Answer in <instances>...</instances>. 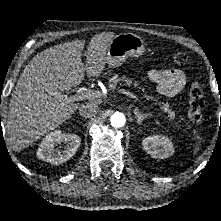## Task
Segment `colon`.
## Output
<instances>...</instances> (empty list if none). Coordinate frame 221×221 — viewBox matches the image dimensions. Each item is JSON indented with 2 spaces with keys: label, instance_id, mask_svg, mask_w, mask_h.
I'll return each mask as SVG.
<instances>
[{
  "label": "colon",
  "instance_id": "5ec220e1",
  "mask_svg": "<svg viewBox=\"0 0 221 221\" xmlns=\"http://www.w3.org/2000/svg\"><path fill=\"white\" fill-rule=\"evenodd\" d=\"M172 61L183 66L187 63L188 57L185 53L177 52L173 54ZM204 107L203 91L198 81H192L189 87V118L195 124L203 123L202 110Z\"/></svg>",
  "mask_w": 221,
  "mask_h": 221
}]
</instances>
